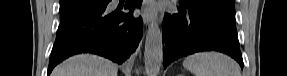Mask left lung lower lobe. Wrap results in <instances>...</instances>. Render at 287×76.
Masks as SVG:
<instances>
[{
	"instance_id": "left-lung-lower-lobe-1",
	"label": "left lung lower lobe",
	"mask_w": 287,
	"mask_h": 76,
	"mask_svg": "<svg viewBox=\"0 0 287 76\" xmlns=\"http://www.w3.org/2000/svg\"><path fill=\"white\" fill-rule=\"evenodd\" d=\"M179 14L164 17V67L180 57L199 51L230 55L243 68L236 29L193 7L179 3Z\"/></svg>"
}]
</instances>
